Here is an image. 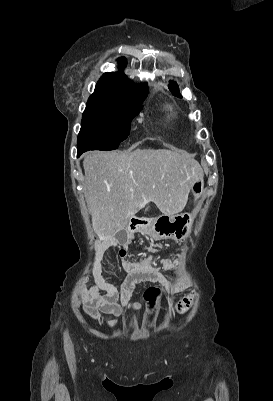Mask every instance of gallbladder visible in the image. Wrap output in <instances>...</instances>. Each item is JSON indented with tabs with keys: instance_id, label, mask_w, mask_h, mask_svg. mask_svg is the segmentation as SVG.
Masks as SVG:
<instances>
[{
	"instance_id": "1",
	"label": "gallbladder",
	"mask_w": 273,
	"mask_h": 401,
	"mask_svg": "<svg viewBox=\"0 0 273 401\" xmlns=\"http://www.w3.org/2000/svg\"><path fill=\"white\" fill-rule=\"evenodd\" d=\"M118 232L119 233H116V239H118L119 243H123L125 246L135 244L134 237L131 236L130 232L126 233V229L124 227H120Z\"/></svg>"
}]
</instances>
